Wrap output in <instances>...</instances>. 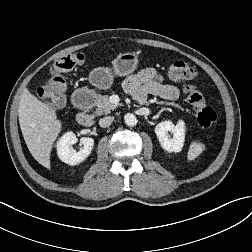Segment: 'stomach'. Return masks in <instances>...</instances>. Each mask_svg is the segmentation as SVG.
<instances>
[{
  "label": "stomach",
  "instance_id": "obj_1",
  "mask_svg": "<svg viewBox=\"0 0 252 252\" xmlns=\"http://www.w3.org/2000/svg\"><path fill=\"white\" fill-rule=\"evenodd\" d=\"M138 54L126 52L119 54L112 61V68L99 67L89 75L90 83L98 89L106 90L111 87L114 76L124 77L132 74L138 66Z\"/></svg>",
  "mask_w": 252,
  "mask_h": 252
}]
</instances>
